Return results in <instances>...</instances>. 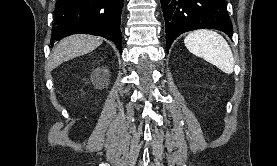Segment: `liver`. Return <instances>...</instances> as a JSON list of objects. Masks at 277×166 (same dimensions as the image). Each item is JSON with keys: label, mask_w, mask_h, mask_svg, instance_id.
I'll return each mask as SVG.
<instances>
[{"label": "liver", "mask_w": 277, "mask_h": 166, "mask_svg": "<svg viewBox=\"0 0 277 166\" xmlns=\"http://www.w3.org/2000/svg\"><path fill=\"white\" fill-rule=\"evenodd\" d=\"M102 44L100 37L92 35H72L62 39L53 49L49 68L54 69L63 62L85 55Z\"/></svg>", "instance_id": "6515ba94"}]
</instances>
